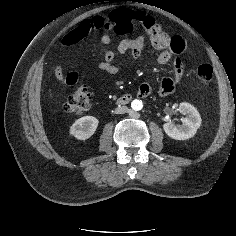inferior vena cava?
<instances>
[{
  "instance_id": "1",
  "label": "inferior vena cava",
  "mask_w": 236,
  "mask_h": 236,
  "mask_svg": "<svg viewBox=\"0 0 236 236\" xmlns=\"http://www.w3.org/2000/svg\"><path fill=\"white\" fill-rule=\"evenodd\" d=\"M128 111V108L126 106H119L115 109V114H124Z\"/></svg>"
}]
</instances>
